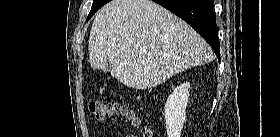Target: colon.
Masks as SVG:
<instances>
[{
    "label": "colon",
    "instance_id": "colon-1",
    "mask_svg": "<svg viewBox=\"0 0 280 137\" xmlns=\"http://www.w3.org/2000/svg\"><path fill=\"white\" fill-rule=\"evenodd\" d=\"M89 111L98 120H104L112 114L119 113L127 116L133 125L139 124L138 118H136L131 111H128L119 103H109L105 101L95 100L89 104ZM144 136L152 137V133L150 131H147Z\"/></svg>",
    "mask_w": 280,
    "mask_h": 137
}]
</instances>
